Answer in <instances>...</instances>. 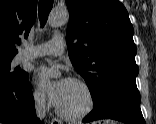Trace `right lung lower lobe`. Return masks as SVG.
<instances>
[{"label": "right lung lower lobe", "instance_id": "1", "mask_svg": "<svg viewBox=\"0 0 156 124\" xmlns=\"http://www.w3.org/2000/svg\"><path fill=\"white\" fill-rule=\"evenodd\" d=\"M0 122L40 124L35 114L29 77L21 81H15L0 73Z\"/></svg>", "mask_w": 156, "mask_h": 124}]
</instances>
